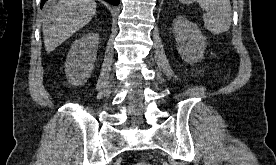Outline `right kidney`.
<instances>
[{
	"label": "right kidney",
	"mask_w": 276,
	"mask_h": 165,
	"mask_svg": "<svg viewBox=\"0 0 276 165\" xmlns=\"http://www.w3.org/2000/svg\"><path fill=\"white\" fill-rule=\"evenodd\" d=\"M98 34L89 32L74 41L65 62V74L69 83L81 86L87 82L97 57Z\"/></svg>",
	"instance_id": "right-kidney-1"
}]
</instances>
